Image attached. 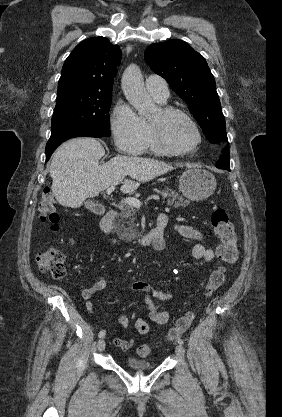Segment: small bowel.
Instances as JSON below:
<instances>
[{
	"label": "small bowel",
	"mask_w": 282,
	"mask_h": 417,
	"mask_svg": "<svg viewBox=\"0 0 282 417\" xmlns=\"http://www.w3.org/2000/svg\"><path fill=\"white\" fill-rule=\"evenodd\" d=\"M167 225V215L165 213L159 214L156 227L162 229L163 238L158 243L164 242V233ZM173 230L179 236L197 242V244L193 247L192 255L198 264L212 261L215 258V251L204 244L205 235L201 230L186 224H174ZM107 286L108 281L104 278H99L91 286L82 290L81 296L86 301V309L90 314H93L94 312V304L91 298L96 293L105 290ZM128 289L131 291L142 292L144 294V303L149 311L148 320L139 318L134 322V327L140 335H147L149 333L151 323L163 326L170 322V313L164 310H160L157 306V303L173 300L176 297L175 292L167 289L153 287L148 282L142 280L131 282L128 285ZM119 322L124 328L129 326V319L125 315L119 316ZM135 342V338L133 337L125 339L119 334H114L112 336V343L119 347L122 351H128L131 349L135 345Z\"/></svg>",
	"instance_id": "obj_1"
}]
</instances>
